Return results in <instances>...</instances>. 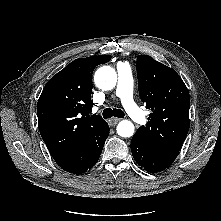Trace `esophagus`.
Masks as SVG:
<instances>
[{
    "instance_id": "obj_1",
    "label": "esophagus",
    "mask_w": 221,
    "mask_h": 221,
    "mask_svg": "<svg viewBox=\"0 0 221 221\" xmlns=\"http://www.w3.org/2000/svg\"><path fill=\"white\" fill-rule=\"evenodd\" d=\"M121 119L120 118H112L109 120V124L111 126H116V124L120 121Z\"/></svg>"
}]
</instances>
